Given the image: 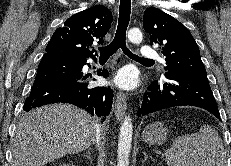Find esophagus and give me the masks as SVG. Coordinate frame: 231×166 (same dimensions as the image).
<instances>
[{
    "label": "esophagus",
    "instance_id": "34e87169",
    "mask_svg": "<svg viewBox=\"0 0 231 166\" xmlns=\"http://www.w3.org/2000/svg\"><path fill=\"white\" fill-rule=\"evenodd\" d=\"M127 108L126 96L122 92H117L115 101V116L118 121H121L125 115Z\"/></svg>",
    "mask_w": 231,
    "mask_h": 166
}]
</instances>
